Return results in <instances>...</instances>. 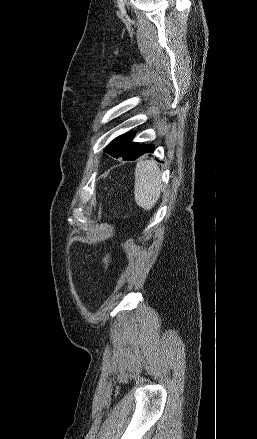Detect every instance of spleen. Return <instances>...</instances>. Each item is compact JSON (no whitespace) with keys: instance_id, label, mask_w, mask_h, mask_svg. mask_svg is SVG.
Returning <instances> with one entry per match:
<instances>
[{"instance_id":"3e777b00","label":"spleen","mask_w":257,"mask_h":439,"mask_svg":"<svg viewBox=\"0 0 257 439\" xmlns=\"http://www.w3.org/2000/svg\"><path fill=\"white\" fill-rule=\"evenodd\" d=\"M163 184L155 161L140 160L135 169L134 195L138 206L151 210L160 198Z\"/></svg>"}]
</instances>
